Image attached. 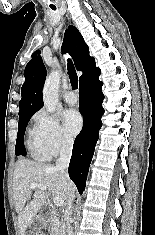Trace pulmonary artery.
<instances>
[{"mask_svg": "<svg viewBox=\"0 0 155 235\" xmlns=\"http://www.w3.org/2000/svg\"><path fill=\"white\" fill-rule=\"evenodd\" d=\"M63 97H64V100L70 105H74L77 103V96L72 91L65 92Z\"/></svg>", "mask_w": 155, "mask_h": 235, "instance_id": "pulmonary-artery-1", "label": "pulmonary artery"}]
</instances>
